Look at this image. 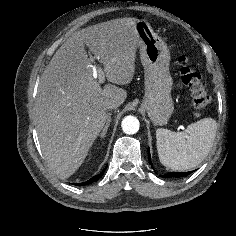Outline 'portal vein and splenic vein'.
Listing matches in <instances>:
<instances>
[{
    "mask_svg": "<svg viewBox=\"0 0 236 236\" xmlns=\"http://www.w3.org/2000/svg\"><path fill=\"white\" fill-rule=\"evenodd\" d=\"M91 67L93 70V77L98 78L99 83H103L105 81V73L102 68L99 65H91Z\"/></svg>",
    "mask_w": 236,
    "mask_h": 236,
    "instance_id": "obj_1",
    "label": "portal vein and splenic vein"
}]
</instances>
